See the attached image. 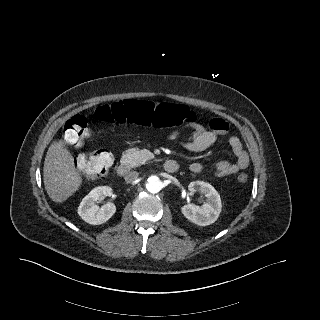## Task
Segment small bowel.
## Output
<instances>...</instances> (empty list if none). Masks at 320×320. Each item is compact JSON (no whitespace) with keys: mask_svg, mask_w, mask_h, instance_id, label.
Here are the masks:
<instances>
[{"mask_svg":"<svg viewBox=\"0 0 320 320\" xmlns=\"http://www.w3.org/2000/svg\"><path fill=\"white\" fill-rule=\"evenodd\" d=\"M210 130H207L204 125L196 120L195 115L190 120H187L186 128L191 130L190 135L182 141V146L187 151L199 153L213 145L220 136L227 133L228 124L225 120L220 118L212 119L209 123ZM180 135L179 132L170 134L171 139H176ZM229 146L236 160L227 161L221 160L214 164V173L218 177L232 175L240 170L247 168L249 164V157L243 147L242 142L237 136H230L228 139ZM203 164L193 162L190 164L189 169L193 173H200L203 170Z\"/></svg>","mask_w":320,"mask_h":320,"instance_id":"c3829d8e","label":"small bowel"}]
</instances>
